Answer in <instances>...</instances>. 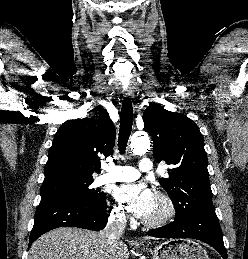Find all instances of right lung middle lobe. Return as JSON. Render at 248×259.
Returning a JSON list of instances; mask_svg holds the SVG:
<instances>
[{
    "instance_id": "1",
    "label": "right lung middle lobe",
    "mask_w": 248,
    "mask_h": 259,
    "mask_svg": "<svg viewBox=\"0 0 248 259\" xmlns=\"http://www.w3.org/2000/svg\"><path fill=\"white\" fill-rule=\"evenodd\" d=\"M92 182L93 180H68L42 184L40 190L41 198L67 197L75 200L97 203L105 201L106 197L104 193H98L97 190L89 187Z\"/></svg>"
}]
</instances>
